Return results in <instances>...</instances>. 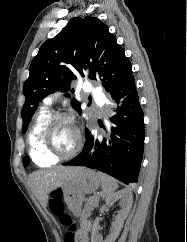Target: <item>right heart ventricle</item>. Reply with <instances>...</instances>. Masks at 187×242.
<instances>
[{
    "label": "right heart ventricle",
    "mask_w": 187,
    "mask_h": 242,
    "mask_svg": "<svg viewBox=\"0 0 187 242\" xmlns=\"http://www.w3.org/2000/svg\"><path fill=\"white\" fill-rule=\"evenodd\" d=\"M49 107H43L38 112L29 133V154L34 163L41 167H48L57 163V159L47 156L41 147V133L48 119L51 117Z\"/></svg>",
    "instance_id": "right-heart-ventricle-1"
}]
</instances>
